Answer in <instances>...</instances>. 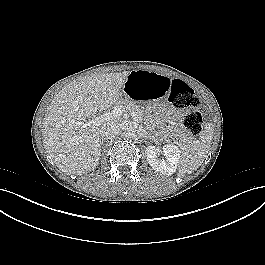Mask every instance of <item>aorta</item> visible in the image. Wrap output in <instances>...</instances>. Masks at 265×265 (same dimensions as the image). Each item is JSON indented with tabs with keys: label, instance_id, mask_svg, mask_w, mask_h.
Masks as SVG:
<instances>
[{
	"label": "aorta",
	"instance_id": "aorta-1",
	"mask_svg": "<svg viewBox=\"0 0 265 265\" xmlns=\"http://www.w3.org/2000/svg\"><path fill=\"white\" fill-rule=\"evenodd\" d=\"M135 128L132 125H127L124 127V135L128 138L135 136Z\"/></svg>",
	"mask_w": 265,
	"mask_h": 265
}]
</instances>
